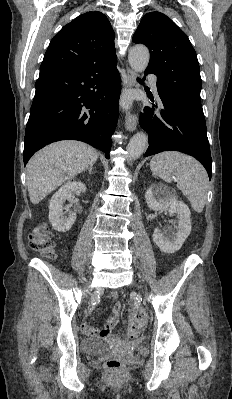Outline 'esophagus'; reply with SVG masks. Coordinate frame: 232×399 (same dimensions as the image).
Here are the masks:
<instances>
[{"mask_svg": "<svg viewBox=\"0 0 232 399\" xmlns=\"http://www.w3.org/2000/svg\"><path fill=\"white\" fill-rule=\"evenodd\" d=\"M136 84V74L130 68H127V81L125 85L127 87H133ZM138 125V117L136 113L127 112L125 116V126L127 130L133 131Z\"/></svg>", "mask_w": 232, "mask_h": 399, "instance_id": "1", "label": "esophagus"}]
</instances>
